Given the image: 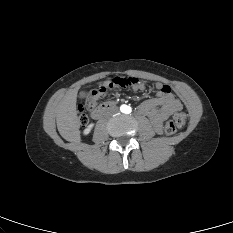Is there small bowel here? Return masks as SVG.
Wrapping results in <instances>:
<instances>
[{
	"label": "small bowel",
	"instance_id": "1",
	"mask_svg": "<svg viewBox=\"0 0 233 233\" xmlns=\"http://www.w3.org/2000/svg\"><path fill=\"white\" fill-rule=\"evenodd\" d=\"M134 90L143 91L146 85L137 80L132 85ZM156 97L145 100L138 106V111L150 118L157 133L163 130L164 122L176 111L182 109L181 102L172 93L170 87L163 83H156Z\"/></svg>",
	"mask_w": 233,
	"mask_h": 233
}]
</instances>
